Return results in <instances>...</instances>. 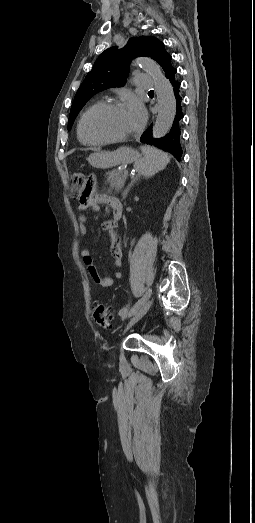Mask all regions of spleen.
<instances>
[{"mask_svg":"<svg viewBox=\"0 0 255 523\" xmlns=\"http://www.w3.org/2000/svg\"><path fill=\"white\" fill-rule=\"evenodd\" d=\"M142 158H138L134 164L136 172L139 176L151 178L160 170H164L170 162V158L166 152L152 148V146H141Z\"/></svg>","mask_w":255,"mask_h":523,"instance_id":"3e777b00","label":"spleen"}]
</instances>
